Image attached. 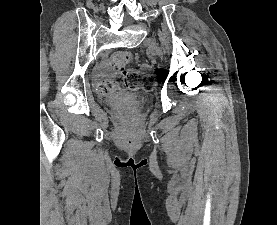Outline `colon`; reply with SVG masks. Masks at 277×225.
Segmentation results:
<instances>
[{"mask_svg":"<svg viewBox=\"0 0 277 225\" xmlns=\"http://www.w3.org/2000/svg\"><path fill=\"white\" fill-rule=\"evenodd\" d=\"M132 61L133 54L130 51L121 50L114 53L110 59L113 73L100 82V90L108 94L134 91L139 87L147 91L152 90L154 88L153 72L126 70L125 68Z\"/></svg>","mask_w":277,"mask_h":225,"instance_id":"colon-1","label":"colon"}]
</instances>
